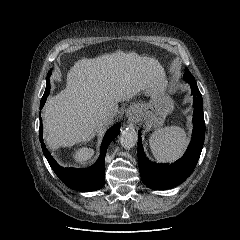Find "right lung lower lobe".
<instances>
[{"mask_svg":"<svg viewBox=\"0 0 240 240\" xmlns=\"http://www.w3.org/2000/svg\"><path fill=\"white\" fill-rule=\"evenodd\" d=\"M46 99L47 98L41 99L40 110L43 108ZM42 130V119L40 115L39 139L41 142L43 153L55 174L67 187L83 192L95 191L103 187L105 155L109 144L111 143L113 138H115L120 132L118 124L112 126L106 132L101 144V153L98 160L91 167L78 170L72 168H63L54 160V158L51 156V154L45 147V144L43 142Z\"/></svg>","mask_w":240,"mask_h":240,"instance_id":"1","label":"right lung lower lobe"}]
</instances>
